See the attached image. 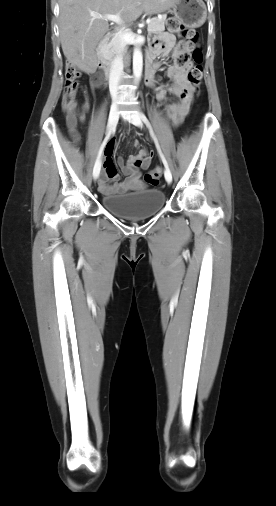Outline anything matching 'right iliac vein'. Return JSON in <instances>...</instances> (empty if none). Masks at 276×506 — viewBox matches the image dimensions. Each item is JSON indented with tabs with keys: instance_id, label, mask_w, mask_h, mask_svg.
I'll return each mask as SVG.
<instances>
[{
	"instance_id": "obj_1",
	"label": "right iliac vein",
	"mask_w": 276,
	"mask_h": 506,
	"mask_svg": "<svg viewBox=\"0 0 276 506\" xmlns=\"http://www.w3.org/2000/svg\"><path fill=\"white\" fill-rule=\"evenodd\" d=\"M118 118H119V112H118V110H117L116 107H113L111 109V112H110V115H109V120H108V127H109L110 130L117 124ZM96 162H97V164H99V163L101 164L100 158ZM95 172L96 173L98 172L97 168H95ZM98 176H94V179L96 180L98 178Z\"/></svg>"
}]
</instances>
